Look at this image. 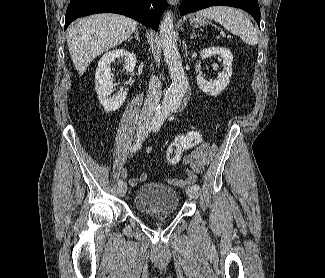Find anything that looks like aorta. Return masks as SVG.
<instances>
[{
    "label": "aorta",
    "instance_id": "1",
    "mask_svg": "<svg viewBox=\"0 0 325 278\" xmlns=\"http://www.w3.org/2000/svg\"><path fill=\"white\" fill-rule=\"evenodd\" d=\"M159 31L164 58L172 80L162 104L155 111L154 120L158 123H163L171 111L181 106L189 88V81L182 65L177 44L174 41L175 31L171 13L167 12L164 14L160 22Z\"/></svg>",
    "mask_w": 325,
    "mask_h": 278
}]
</instances>
